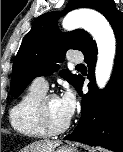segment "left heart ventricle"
Here are the masks:
<instances>
[{"mask_svg": "<svg viewBox=\"0 0 123 152\" xmlns=\"http://www.w3.org/2000/svg\"><path fill=\"white\" fill-rule=\"evenodd\" d=\"M48 113L51 122L56 126L63 125L68 121L67 117L64 114L59 98H55L49 101Z\"/></svg>", "mask_w": 123, "mask_h": 152, "instance_id": "b2bd125f", "label": "left heart ventricle"}]
</instances>
